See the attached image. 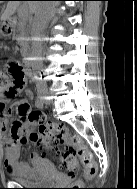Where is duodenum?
Returning <instances> with one entry per match:
<instances>
[{"label":"duodenum","mask_w":137,"mask_h":189,"mask_svg":"<svg viewBox=\"0 0 137 189\" xmlns=\"http://www.w3.org/2000/svg\"><path fill=\"white\" fill-rule=\"evenodd\" d=\"M14 26H15L14 19H12V18L6 19L4 21V32H5V34L6 35H10L12 33L13 29H14ZM28 66L29 67L31 66L30 62H28ZM30 71H31V73H33V69L32 68H30Z\"/></svg>","instance_id":"duodenum-1"}]
</instances>
